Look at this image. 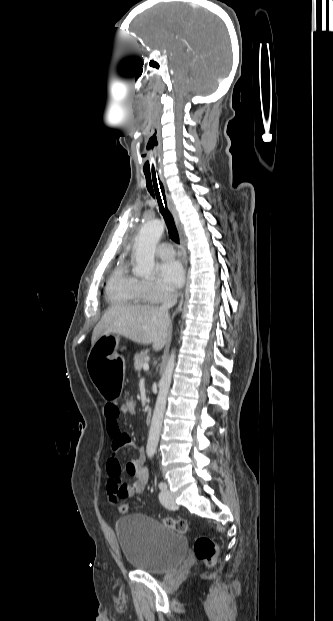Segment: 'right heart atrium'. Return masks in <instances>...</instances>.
Returning <instances> with one entry per match:
<instances>
[{
	"mask_svg": "<svg viewBox=\"0 0 333 621\" xmlns=\"http://www.w3.org/2000/svg\"><path fill=\"white\" fill-rule=\"evenodd\" d=\"M142 291L147 299L151 303L162 302L172 296V291L166 289L160 283L155 281H141Z\"/></svg>",
	"mask_w": 333,
	"mask_h": 621,
	"instance_id": "obj_1",
	"label": "right heart atrium"
}]
</instances>
